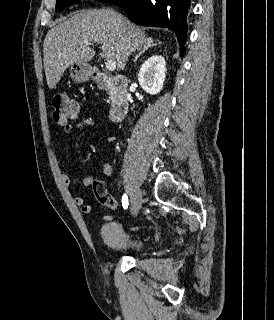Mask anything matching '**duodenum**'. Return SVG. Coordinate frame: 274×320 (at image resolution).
<instances>
[{
	"instance_id": "410a0bca",
	"label": "duodenum",
	"mask_w": 274,
	"mask_h": 320,
	"mask_svg": "<svg viewBox=\"0 0 274 320\" xmlns=\"http://www.w3.org/2000/svg\"><path fill=\"white\" fill-rule=\"evenodd\" d=\"M92 76L99 90L113 91L109 115L112 120H121L128 112L130 106L128 78L122 75L110 76L100 71H95Z\"/></svg>"
}]
</instances>
